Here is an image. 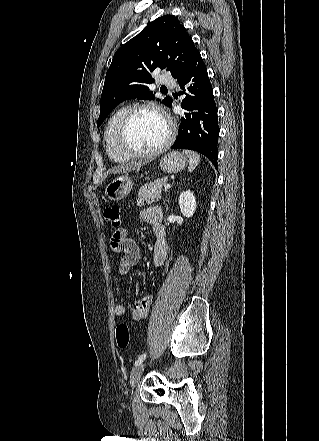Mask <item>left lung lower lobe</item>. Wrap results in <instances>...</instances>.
I'll return each instance as SVG.
<instances>
[{"label": "left lung lower lobe", "instance_id": "0a47b994", "mask_svg": "<svg viewBox=\"0 0 319 441\" xmlns=\"http://www.w3.org/2000/svg\"><path fill=\"white\" fill-rule=\"evenodd\" d=\"M186 97L178 136L172 149H190L206 156L217 168L219 126L213 89L206 66L198 53L176 78Z\"/></svg>", "mask_w": 319, "mask_h": 441}]
</instances>
